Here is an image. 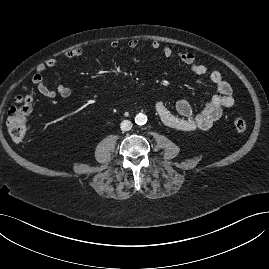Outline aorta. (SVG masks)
<instances>
[{
  "mask_svg": "<svg viewBox=\"0 0 269 269\" xmlns=\"http://www.w3.org/2000/svg\"><path fill=\"white\" fill-rule=\"evenodd\" d=\"M146 121H147V116L145 114L139 113L135 117V122L138 125H143L146 123Z\"/></svg>",
  "mask_w": 269,
  "mask_h": 269,
  "instance_id": "aorta-1",
  "label": "aorta"
}]
</instances>
